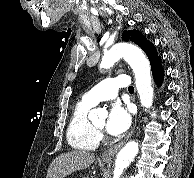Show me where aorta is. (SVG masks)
Listing matches in <instances>:
<instances>
[{"label":"aorta","instance_id":"762f6f07","mask_svg":"<svg viewBox=\"0 0 194 178\" xmlns=\"http://www.w3.org/2000/svg\"><path fill=\"white\" fill-rule=\"evenodd\" d=\"M120 58H124L131 66L136 80V88L140 97V102L145 109L152 106L153 88L151 85L150 64L144 53L135 45L130 43H119L108 50L100 63V67L108 69L114 65ZM102 111L93 109L89 113V119L93 120ZM138 143L129 141L118 153L115 160L113 178H120L124 169H126L138 153Z\"/></svg>","mask_w":194,"mask_h":178}]
</instances>
